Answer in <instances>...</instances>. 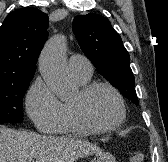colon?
<instances>
[{
    "label": "colon",
    "instance_id": "obj_1",
    "mask_svg": "<svg viewBox=\"0 0 168 162\" xmlns=\"http://www.w3.org/2000/svg\"><path fill=\"white\" fill-rule=\"evenodd\" d=\"M130 162H145V157L141 153H135L130 157Z\"/></svg>",
    "mask_w": 168,
    "mask_h": 162
}]
</instances>
